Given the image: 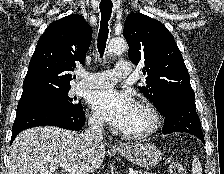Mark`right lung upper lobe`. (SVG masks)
<instances>
[{"instance_id":"right-lung-upper-lobe-1","label":"right lung upper lobe","mask_w":224,"mask_h":174,"mask_svg":"<svg viewBox=\"0 0 224 174\" xmlns=\"http://www.w3.org/2000/svg\"><path fill=\"white\" fill-rule=\"evenodd\" d=\"M91 38V27L81 15L52 22L37 43L22 94L50 86L70 87L71 72L84 62Z\"/></svg>"}]
</instances>
